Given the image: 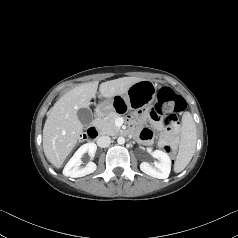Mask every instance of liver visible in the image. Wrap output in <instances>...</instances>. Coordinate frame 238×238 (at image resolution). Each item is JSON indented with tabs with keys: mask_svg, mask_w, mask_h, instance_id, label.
Segmentation results:
<instances>
[{
	"mask_svg": "<svg viewBox=\"0 0 238 238\" xmlns=\"http://www.w3.org/2000/svg\"><path fill=\"white\" fill-rule=\"evenodd\" d=\"M143 79L123 77L103 82L99 86L101 95L112 98L125 94L136 82ZM98 81L81 84L64 94L47 112L43 128V150L47 160L59 168L75 147L83 125L78 119L79 109L88 108L95 98Z\"/></svg>",
	"mask_w": 238,
	"mask_h": 238,
	"instance_id": "6515ba94",
	"label": "liver"
}]
</instances>
